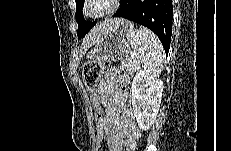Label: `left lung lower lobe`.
<instances>
[{"instance_id":"obj_1","label":"left lung lower lobe","mask_w":231,"mask_h":151,"mask_svg":"<svg viewBox=\"0 0 231 151\" xmlns=\"http://www.w3.org/2000/svg\"><path fill=\"white\" fill-rule=\"evenodd\" d=\"M173 6L171 0H133L120 6L113 17H122L152 30L168 53L172 35Z\"/></svg>"}]
</instances>
